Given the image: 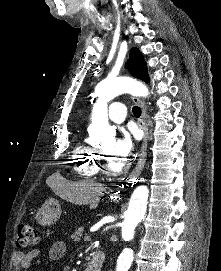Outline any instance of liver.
<instances>
[{"mask_svg": "<svg viewBox=\"0 0 221 271\" xmlns=\"http://www.w3.org/2000/svg\"><path fill=\"white\" fill-rule=\"evenodd\" d=\"M63 187V191L59 193L62 199L71 201V203H77V205H87L91 203V207H97L99 197L97 191H105V187L100 183H94L92 179H80L76 183H68L65 181L62 175H57L53 185H59Z\"/></svg>", "mask_w": 221, "mask_h": 271, "instance_id": "1", "label": "liver"}]
</instances>
